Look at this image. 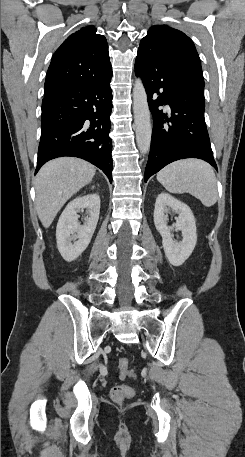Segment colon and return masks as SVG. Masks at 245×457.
Returning a JSON list of instances; mask_svg holds the SVG:
<instances>
[{"label":"colon","instance_id":"5ec220e1","mask_svg":"<svg viewBox=\"0 0 245 457\" xmlns=\"http://www.w3.org/2000/svg\"><path fill=\"white\" fill-rule=\"evenodd\" d=\"M118 369L120 371V376L122 378L131 376L133 374L132 370L129 369V362L126 358H120L117 362ZM133 389L124 386V385H117L111 389L110 396L114 402L121 403L127 397L132 396Z\"/></svg>","mask_w":245,"mask_h":457}]
</instances>
